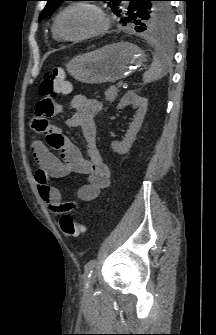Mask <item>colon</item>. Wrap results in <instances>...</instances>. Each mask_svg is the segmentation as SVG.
Returning a JSON list of instances; mask_svg holds the SVG:
<instances>
[{"label": "colon", "instance_id": "colon-1", "mask_svg": "<svg viewBox=\"0 0 216 335\" xmlns=\"http://www.w3.org/2000/svg\"><path fill=\"white\" fill-rule=\"evenodd\" d=\"M69 91L70 85L65 79L64 69L61 67L54 68L52 71L47 72L38 87V93L42 98H47L48 94H53L55 98L58 93H68ZM54 140L55 138H51L50 142L53 143ZM60 228L63 234L68 238H76L87 230L85 224L70 214H65L61 217Z\"/></svg>", "mask_w": 216, "mask_h": 335}]
</instances>
